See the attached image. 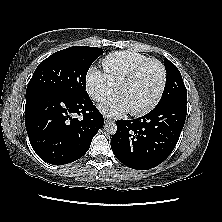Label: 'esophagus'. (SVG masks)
<instances>
[{"instance_id": "obj_1", "label": "esophagus", "mask_w": 222, "mask_h": 222, "mask_svg": "<svg viewBox=\"0 0 222 222\" xmlns=\"http://www.w3.org/2000/svg\"><path fill=\"white\" fill-rule=\"evenodd\" d=\"M104 121H105V123H112V122H114L112 119H110V118H108V117H106V118L104 119Z\"/></svg>"}]
</instances>
